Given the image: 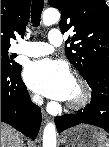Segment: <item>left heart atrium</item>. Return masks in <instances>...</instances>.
<instances>
[{
	"label": "left heart atrium",
	"mask_w": 109,
	"mask_h": 147,
	"mask_svg": "<svg viewBox=\"0 0 109 147\" xmlns=\"http://www.w3.org/2000/svg\"><path fill=\"white\" fill-rule=\"evenodd\" d=\"M23 76L30 89L59 101L68 99L74 81L65 62L51 59L29 63Z\"/></svg>",
	"instance_id": "39dd6f15"
}]
</instances>
